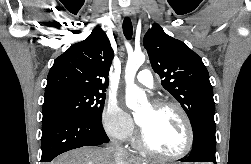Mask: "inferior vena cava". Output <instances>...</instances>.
Returning a JSON list of instances; mask_svg holds the SVG:
<instances>
[{"mask_svg": "<svg viewBox=\"0 0 251 164\" xmlns=\"http://www.w3.org/2000/svg\"><path fill=\"white\" fill-rule=\"evenodd\" d=\"M113 147H114V152H115V156L117 160H119L123 155L128 154L127 151L124 148H122L119 144H114Z\"/></svg>", "mask_w": 251, "mask_h": 164, "instance_id": "1", "label": "inferior vena cava"}]
</instances>
